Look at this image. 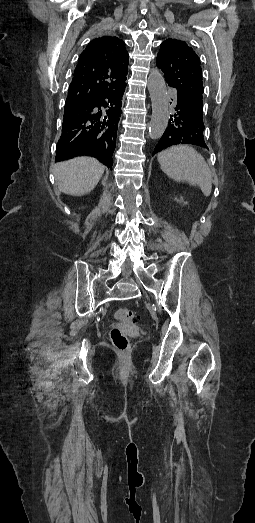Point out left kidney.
<instances>
[{"instance_id": "obj_1", "label": "left kidney", "mask_w": 255, "mask_h": 523, "mask_svg": "<svg viewBox=\"0 0 255 523\" xmlns=\"http://www.w3.org/2000/svg\"><path fill=\"white\" fill-rule=\"evenodd\" d=\"M177 202H183V198H180V200H177ZM183 204H188V202H183Z\"/></svg>"}]
</instances>
